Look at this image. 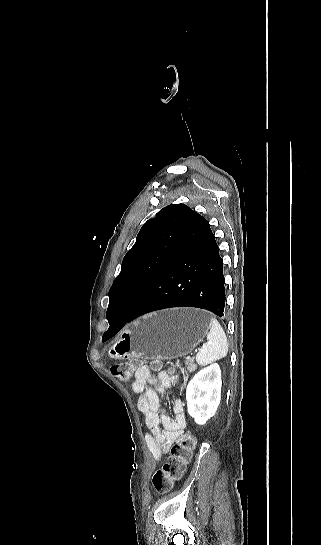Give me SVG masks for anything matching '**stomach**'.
I'll return each mask as SVG.
<instances>
[{
	"label": "stomach",
	"instance_id": "obj_1",
	"mask_svg": "<svg viewBox=\"0 0 321 545\" xmlns=\"http://www.w3.org/2000/svg\"><path fill=\"white\" fill-rule=\"evenodd\" d=\"M211 327L202 309H165L127 325L110 347L111 359H176L191 353Z\"/></svg>",
	"mask_w": 321,
	"mask_h": 545
}]
</instances>
